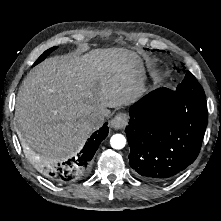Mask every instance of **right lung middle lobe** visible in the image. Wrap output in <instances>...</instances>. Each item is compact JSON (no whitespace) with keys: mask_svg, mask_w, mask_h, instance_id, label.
Instances as JSON below:
<instances>
[{"mask_svg":"<svg viewBox=\"0 0 221 221\" xmlns=\"http://www.w3.org/2000/svg\"><path fill=\"white\" fill-rule=\"evenodd\" d=\"M56 49V47L50 48L48 50H46L38 59L37 61L34 63L33 66H35L36 64L40 63L41 61H43L52 51H54Z\"/></svg>","mask_w":221,"mask_h":221,"instance_id":"obj_1","label":"right lung middle lobe"}]
</instances>
